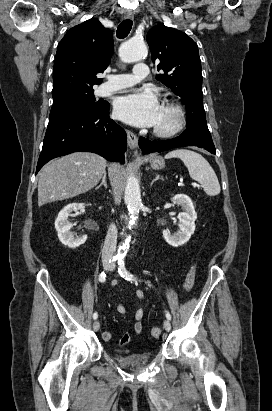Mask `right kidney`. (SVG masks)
I'll return each mask as SVG.
<instances>
[{
    "instance_id": "ca27d5eb",
    "label": "right kidney",
    "mask_w": 272,
    "mask_h": 411,
    "mask_svg": "<svg viewBox=\"0 0 272 411\" xmlns=\"http://www.w3.org/2000/svg\"><path fill=\"white\" fill-rule=\"evenodd\" d=\"M84 203H71L65 206L58 214L55 220V229L58 233L60 242L69 247L76 248L85 243L87 236L79 237L71 232L72 223L68 221V217L72 211L84 210Z\"/></svg>"
}]
</instances>
